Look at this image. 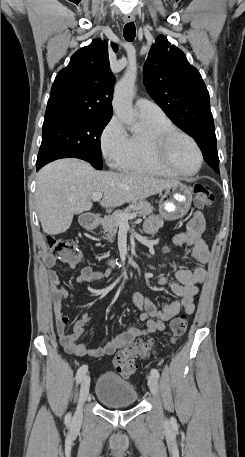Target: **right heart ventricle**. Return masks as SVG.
<instances>
[{
    "label": "right heart ventricle",
    "mask_w": 245,
    "mask_h": 457,
    "mask_svg": "<svg viewBox=\"0 0 245 457\" xmlns=\"http://www.w3.org/2000/svg\"><path fill=\"white\" fill-rule=\"evenodd\" d=\"M143 120L147 130L154 128H176L173 122L165 115L143 118ZM144 134H134L130 136V144L126 153L122 157L115 160V165L118 168L123 170H135L154 174L161 173V171L157 170L151 164H149L143 156L142 139Z\"/></svg>",
    "instance_id": "1"
}]
</instances>
